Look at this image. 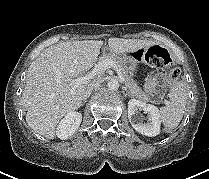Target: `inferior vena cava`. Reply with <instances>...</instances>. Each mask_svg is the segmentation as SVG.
Wrapping results in <instances>:
<instances>
[{
	"instance_id": "1",
	"label": "inferior vena cava",
	"mask_w": 209,
	"mask_h": 179,
	"mask_svg": "<svg viewBox=\"0 0 209 179\" xmlns=\"http://www.w3.org/2000/svg\"><path fill=\"white\" fill-rule=\"evenodd\" d=\"M100 84V81L99 80H94L92 81L88 87L86 88V90L84 91L83 95H82V99L83 100H86L87 98H89L91 92L96 88L98 87Z\"/></svg>"
}]
</instances>
